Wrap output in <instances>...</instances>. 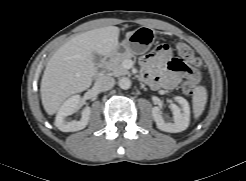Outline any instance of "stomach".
<instances>
[{"mask_svg": "<svg viewBox=\"0 0 246 181\" xmlns=\"http://www.w3.org/2000/svg\"><path fill=\"white\" fill-rule=\"evenodd\" d=\"M155 40V32L148 27H140L132 32L131 35L118 44L116 50L111 53V56H117L122 53H131L140 55L147 52Z\"/></svg>", "mask_w": 246, "mask_h": 181, "instance_id": "stomach-1", "label": "stomach"}]
</instances>
